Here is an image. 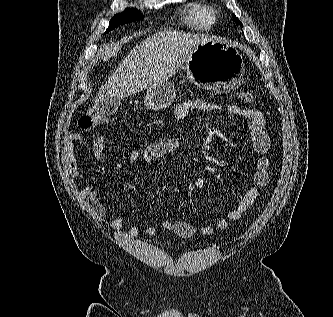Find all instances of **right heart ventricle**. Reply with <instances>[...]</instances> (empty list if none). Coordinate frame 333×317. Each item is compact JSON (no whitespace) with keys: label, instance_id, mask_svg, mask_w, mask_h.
<instances>
[{"label":"right heart ventricle","instance_id":"right-heart-ventricle-1","mask_svg":"<svg viewBox=\"0 0 333 317\" xmlns=\"http://www.w3.org/2000/svg\"><path fill=\"white\" fill-rule=\"evenodd\" d=\"M185 22L196 30H208L217 20L215 8L204 2L187 4L184 12Z\"/></svg>","mask_w":333,"mask_h":317}]
</instances>
